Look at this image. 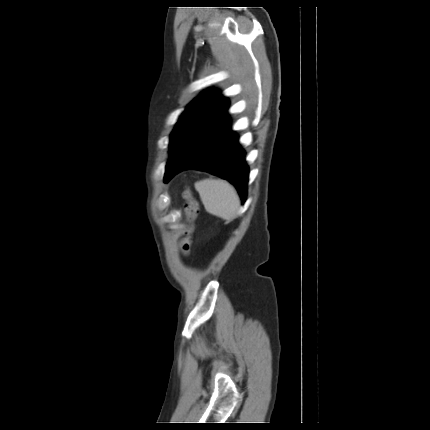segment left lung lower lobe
I'll return each instance as SVG.
<instances>
[{
  "label": "left lung lower lobe",
  "instance_id": "obj_1",
  "mask_svg": "<svg viewBox=\"0 0 430 430\" xmlns=\"http://www.w3.org/2000/svg\"><path fill=\"white\" fill-rule=\"evenodd\" d=\"M229 120L211 116L202 120L191 137L174 151L167 162L164 181L186 169H197L231 182L242 202L246 200L249 167L245 151L231 131Z\"/></svg>",
  "mask_w": 430,
  "mask_h": 430
}]
</instances>
